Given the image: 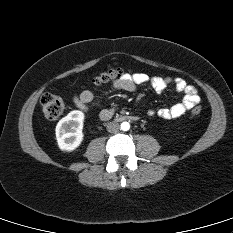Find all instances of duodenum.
<instances>
[{
  "mask_svg": "<svg viewBox=\"0 0 233 233\" xmlns=\"http://www.w3.org/2000/svg\"><path fill=\"white\" fill-rule=\"evenodd\" d=\"M137 119L138 117L133 115H122L117 118L118 121H136Z\"/></svg>",
  "mask_w": 233,
  "mask_h": 233,
  "instance_id": "duodenum-1",
  "label": "duodenum"
}]
</instances>
